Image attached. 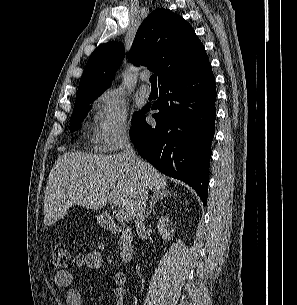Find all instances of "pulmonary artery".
<instances>
[{
    "label": "pulmonary artery",
    "mask_w": 297,
    "mask_h": 305,
    "mask_svg": "<svg viewBox=\"0 0 297 305\" xmlns=\"http://www.w3.org/2000/svg\"><path fill=\"white\" fill-rule=\"evenodd\" d=\"M149 78V75L147 73H142L140 75L141 81L145 82ZM140 93L144 97H148L151 94V88L148 85H141L139 89Z\"/></svg>",
    "instance_id": "obj_1"
}]
</instances>
